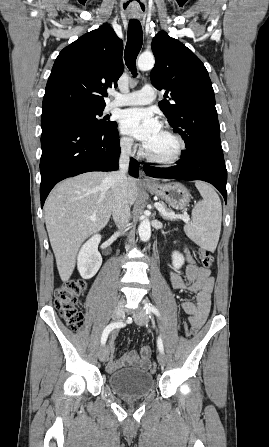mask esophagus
Segmentation results:
<instances>
[{
  "mask_svg": "<svg viewBox=\"0 0 269 447\" xmlns=\"http://www.w3.org/2000/svg\"><path fill=\"white\" fill-rule=\"evenodd\" d=\"M139 182L143 183V184H151L154 183V181L152 179H149L145 173L141 170L140 171V178H139Z\"/></svg>",
  "mask_w": 269,
  "mask_h": 447,
  "instance_id": "34e87169",
  "label": "esophagus"
}]
</instances>
